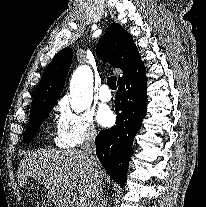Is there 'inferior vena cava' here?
Masks as SVG:
<instances>
[{
	"mask_svg": "<svg viewBox=\"0 0 206 207\" xmlns=\"http://www.w3.org/2000/svg\"><path fill=\"white\" fill-rule=\"evenodd\" d=\"M95 137L96 132L91 131L82 146V152L87 160L89 168L93 172V189L95 201H90L87 207H102V171L101 165L96 157V147H95Z\"/></svg>",
	"mask_w": 206,
	"mask_h": 207,
	"instance_id": "obj_1",
	"label": "inferior vena cava"
}]
</instances>
